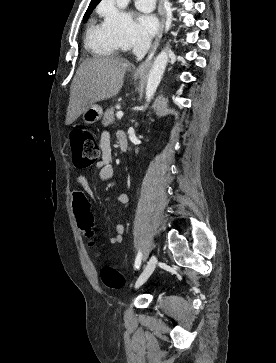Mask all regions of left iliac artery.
I'll list each match as a JSON object with an SVG mask.
<instances>
[{
  "label": "left iliac artery",
  "instance_id": "obj_1",
  "mask_svg": "<svg viewBox=\"0 0 276 363\" xmlns=\"http://www.w3.org/2000/svg\"><path fill=\"white\" fill-rule=\"evenodd\" d=\"M141 259H142V253L139 251L134 264L135 269H138L140 267Z\"/></svg>",
  "mask_w": 276,
  "mask_h": 363
}]
</instances>
